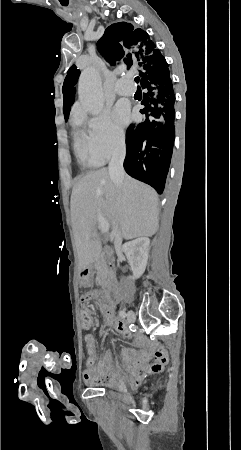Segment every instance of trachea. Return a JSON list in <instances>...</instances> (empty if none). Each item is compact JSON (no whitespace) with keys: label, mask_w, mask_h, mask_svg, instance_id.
I'll list each match as a JSON object with an SVG mask.
<instances>
[{"label":"trachea","mask_w":241,"mask_h":450,"mask_svg":"<svg viewBox=\"0 0 241 450\" xmlns=\"http://www.w3.org/2000/svg\"><path fill=\"white\" fill-rule=\"evenodd\" d=\"M139 81H140L139 77H136V78H135V82H136V83H139Z\"/></svg>","instance_id":"3493384b"}]
</instances>
